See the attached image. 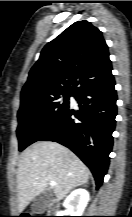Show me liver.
I'll return each instance as SVG.
<instances>
[{
    "mask_svg": "<svg viewBox=\"0 0 132 217\" xmlns=\"http://www.w3.org/2000/svg\"><path fill=\"white\" fill-rule=\"evenodd\" d=\"M90 177L86 165L68 148L51 141H40L24 150L18 164V213L41 194L51 181L53 193L63 199L73 188Z\"/></svg>",
    "mask_w": 132,
    "mask_h": 217,
    "instance_id": "liver-1",
    "label": "liver"
}]
</instances>
